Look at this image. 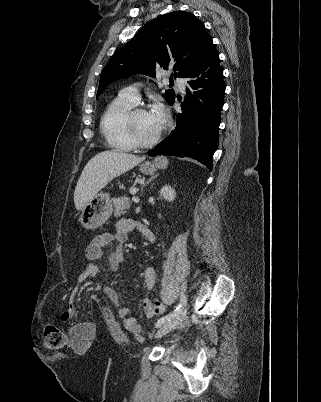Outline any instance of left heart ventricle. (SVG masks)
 <instances>
[{"mask_svg":"<svg viewBox=\"0 0 321 402\" xmlns=\"http://www.w3.org/2000/svg\"><path fill=\"white\" fill-rule=\"evenodd\" d=\"M163 123L153 120L147 111L139 112L134 116L136 132L144 141L152 139L161 129Z\"/></svg>","mask_w":321,"mask_h":402,"instance_id":"obj_1","label":"left heart ventricle"}]
</instances>
